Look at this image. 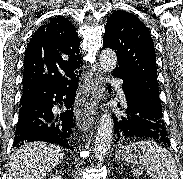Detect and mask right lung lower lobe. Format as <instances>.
I'll return each instance as SVG.
<instances>
[{
  "instance_id": "right-lung-lower-lobe-1",
  "label": "right lung lower lobe",
  "mask_w": 183,
  "mask_h": 179,
  "mask_svg": "<svg viewBox=\"0 0 183 179\" xmlns=\"http://www.w3.org/2000/svg\"><path fill=\"white\" fill-rule=\"evenodd\" d=\"M78 80L67 85L41 84L22 95L13 147L26 142L46 141L73 150L70 137L75 127L72 105ZM64 104L67 111L54 116L53 106Z\"/></svg>"
}]
</instances>
